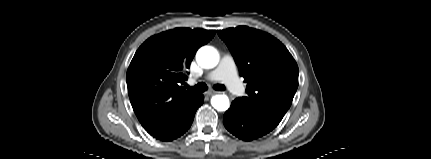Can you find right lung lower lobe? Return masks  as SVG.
<instances>
[{
    "mask_svg": "<svg viewBox=\"0 0 431 159\" xmlns=\"http://www.w3.org/2000/svg\"><path fill=\"white\" fill-rule=\"evenodd\" d=\"M203 101L202 94L189 98L160 129L151 135L161 141H172L180 137L190 128L194 115Z\"/></svg>",
    "mask_w": 431,
    "mask_h": 159,
    "instance_id": "1",
    "label": "right lung lower lobe"
}]
</instances>
